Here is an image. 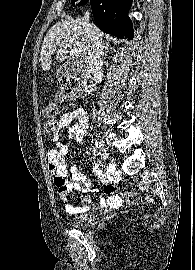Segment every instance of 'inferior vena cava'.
<instances>
[{"label":"inferior vena cava","mask_w":195,"mask_h":270,"mask_svg":"<svg viewBox=\"0 0 195 270\" xmlns=\"http://www.w3.org/2000/svg\"><path fill=\"white\" fill-rule=\"evenodd\" d=\"M90 12H85L84 20L89 36V49L86 55V64L90 69L93 81L97 84L103 77V63L101 54L103 50L102 40L89 23Z\"/></svg>","instance_id":"inferior-vena-cava-1"}]
</instances>
